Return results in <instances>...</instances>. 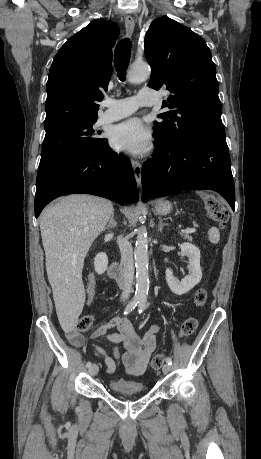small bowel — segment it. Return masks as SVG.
I'll return each instance as SVG.
<instances>
[{
    "mask_svg": "<svg viewBox=\"0 0 261 459\" xmlns=\"http://www.w3.org/2000/svg\"><path fill=\"white\" fill-rule=\"evenodd\" d=\"M96 281L93 275L90 276L86 289V304L90 305L95 295ZM116 328L118 331L109 333V330ZM159 330L158 325L150 326L145 332L138 333L133 324L126 317L117 315L108 322L99 326L92 334L93 339H105L112 343L121 344L124 352L121 360L125 371L131 375L143 374L148 366L151 355L157 346L156 333ZM67 339L75 346L83 345L84 338L76 330L67 332ZM95 355L104 359L107 372L112 374L117 369L118 353L115 357L107 354L104 348L95 344L93 347Z\"/></svg>",
    "mask_w": 261,
    "mask_h": 459,
    "instance_id": "small-bowel-1",
    "label": "small bowel"
}]
</instances>
